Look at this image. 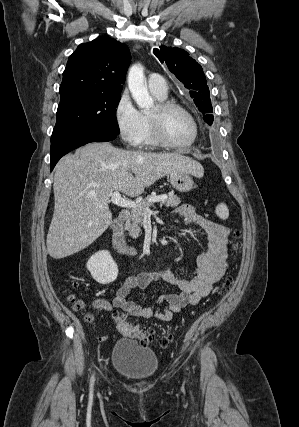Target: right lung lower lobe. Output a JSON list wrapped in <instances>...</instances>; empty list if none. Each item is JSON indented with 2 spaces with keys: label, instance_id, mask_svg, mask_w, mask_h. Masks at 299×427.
Masks as SVG:
<instances>
[{
  "label": "right lung lower lobe",
  "instance_id": "1",
  "mask_svg": "<svg viewBox=\"0 0 299 427\" xmlns=\"http://www.w3.org/2000/svg\"><path fill=\"white\" fill-rule=\"evenodd\" d=\"M115 134L105 133H73L51 141L50 170L52 171L59 159L68 152L90 142H107L113 140Z\"/></svg>",
  "mask_w": 299,
  "mask_h": 427
}]
</instances>
